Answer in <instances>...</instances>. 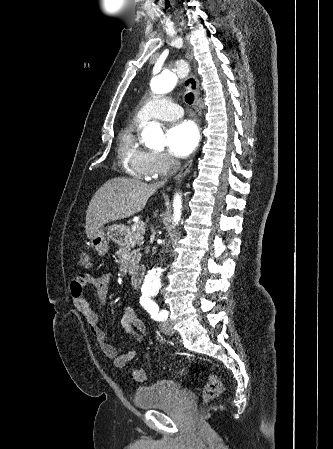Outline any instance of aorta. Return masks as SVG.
<instances>
[{
  "label": "aorta",
  "mask_w": 333,
  "mask_h": 449,
  "mask_svg": "<svg viewBox=\"0 0 333 449\" xmlns=\"http://www.w3.org/2000/svg\"><path fill=\"white\" fill-rule=\"evenodd\" d=\"M180 66V65H179ZM178 73L171 71H164L161 74H156L150 83L151 90L156 94H165L171 91L178 79ZM142 139L145 144L155 150L161 151L165 146V138L163 131L158 123L151 122L143 131ZM184 198V191L179 189L174 195V221H178L181 215V204ZM172 236V228L167 227L162 230L158 237L161 242H167ZM161 268L151 269L145 276L144 284L141 290L143 295H153L159 291Z\"/></svg>",
  "instance_id": "1"
}]
</instances>
